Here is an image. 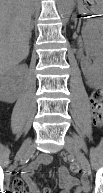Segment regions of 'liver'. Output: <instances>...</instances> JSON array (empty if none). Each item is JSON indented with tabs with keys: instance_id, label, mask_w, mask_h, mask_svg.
I'll list each match as a JSON object with an SVG mask.
<instances>
[{
	"instance_id": "liver-1",
	"label": "liver",
	"mask_w": 103,
	"mask_h": 193,
	"mask_svg": "<svg viewBox=\"0 0 103 193\" xmlns=\"http://www.w3.org/2000/svg\"><path fill=\"white\" fill-rule=\"evenodd\" d=\"M34 0H1L0 71L7 72L29 55Z\"/></svg>"
}]
</instances>
